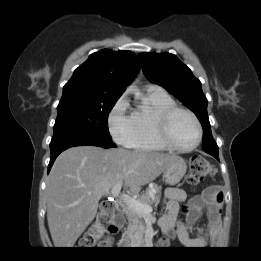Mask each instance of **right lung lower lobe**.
Segmentation results:
<instances>
[{"instance_id": "1", "label": "right lung lower lobe", "mask_w": 261, "mask_h": 261, "mask_svg": "<svg viewBox=\"0 0 261 261\" xmlns=\"http://www.w3.org/2000/svg\"><path fill=\"white\" fill-rule=\"evenodd\" d=\"M85 145L100 146L102 148L116 147V145L111 141V138L90 133H79L52 138L50 143L51 157L48 172L61 152L70 147Z\"/></svg>"}]
</instances>
